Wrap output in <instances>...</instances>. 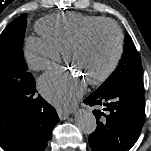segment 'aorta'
I'll return each instance as SVG.
<instances>
[{"instance_id": "762f6f07", "label": "aorta", "mask_w": 151, "mask_h": 151, "mask_svg": "<svg viewBox=\"0 0 151 151\" xmlns=\"http://www.w3.org/2000/svg\"><path fill=\"white\" fill-rule=\"evenodd\" d=\"M75 121L80 131L85 134L93 133L97 127L94 114L86 109H80L76 113Z\"/></svg>"}]
</instances>
